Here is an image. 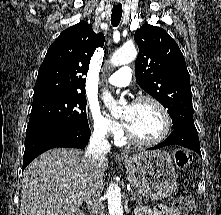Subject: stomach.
<instances>
[{"instance_id":"0dacf381","label":"stomach","mask_w":221,"mask_h":215,"mask_svg":"<svg viewBox=\"0 0 221 215\" xmlns=\"http://www.w3.org/2000/svg\"><path fill=\"white\" fill-rule=\"evenodd\" d=\"M119 161L125 165L127 180L146 198L164 199L178 186L173 159L166 151H144Z\"/></svg>"}]
</instances>
